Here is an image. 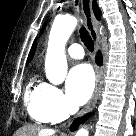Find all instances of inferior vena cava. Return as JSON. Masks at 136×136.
I'll list each match as a JSON object with an SVG mask.
<instances>
[{
  "label": "inferior vena cava",
  "mask_w": 136,
  "mask_h": 136,
  "mask_svg": "<svg viewBox=\"0 0 136 136\" xmlns=\"http://www.w3.org/2000/svg\"><path fill=\"white\" fill-rule=\"evenodd\" d=\"M78 111V108L77 107H73V106H70L69 107V113L70 114H74Z\"/></svg>",
  "instance_id": "obj_1"
}]
</instances>
